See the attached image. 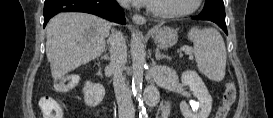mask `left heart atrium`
Instances as JSON below:
<instances>
[{"mask_svg":"<svg viewBox=\"0 0 273 118\" xmlns=\"http://www.w3.org/2000/svg\"><path fill=\"white\" fill-rule=\"evenodd\" d=\"M133 1H136V2L143 4V5L152 3V0H133Z\"/></svg>","mask_w":273,"mask_h":118,"instance_id":"left-heart-atrium-1","label":"left heart atrium"}]
</instances>
